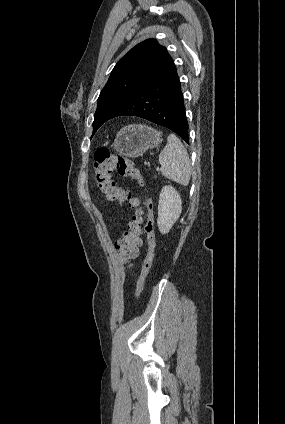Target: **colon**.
Wrapping results in <instances>:
<instances>
[{
	"label": "colon",
	"mask_w": 285,
	"mask_h": 424,
	"mask_svg": "<svg viewBox=\"0 0 285 424\" xmlns=\"http://www.w3.org/2000/svg\"><path fill=\"white\" fill-rule=\"evenodd\" d=\"M116 171L124 177L133 179L139 186H145V180L137 166L126 157L120 154L111 153L107 148H98L94 154L93 178L98 191L110 201L119 204L128 203L133 208H138V200L133 197L129 190L119 187L112 178V173ZM148 209L145 220L142 212L137 209L127 229L115 242V250L124 259H131L136 255L137 249L142 244L141 236L146 237L147 252L143 262L142 271L138 280L137 296L141 294L145 281L152 268L155 256V233L151 216L152 202L146 199Z\"/></svg>",
	"instance_id": "obj_1"
}]
</instances>
